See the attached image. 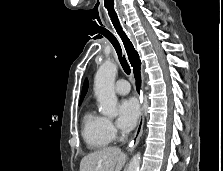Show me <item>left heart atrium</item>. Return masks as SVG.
<instances>
[{
    "instance_id": "1",
    "label": "left heart atrium",
    "mask_w": 223,
    "mask_h": 171,
    "mask_svg": "<svg viewBox=\"0 0 223 171\" xmlns=\"http://www.w3.org/2000/svg\"><path fill=\"white\" fill-rule=\"evenodd\" d=\"M140 114L139 103L135 98L122 99L118 105V126L131 129L135 126Z\"/></svg>"
}]
</instances>
